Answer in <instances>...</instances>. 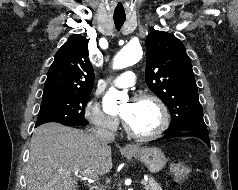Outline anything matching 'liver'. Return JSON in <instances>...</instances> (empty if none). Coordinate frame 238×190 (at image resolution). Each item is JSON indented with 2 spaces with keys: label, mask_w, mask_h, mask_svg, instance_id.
<instances>
[{
  "label": "liver",
  "mask_w": 238,
  "mask_h": 190,
  "mask_svg": "<svg viewBox=\"0 0 238 190\" xmlns=\"http://www.w3.org/2000/svg\"><path fill=\"white\" fill-rule=\"evenodd\" d=\"M111 169V148L93 134L47 123L37 127L31 138L27 190H77L72 173L105 175Z\"/></svg>",
  "instance_id": "liver-1"
}]
</instances>
